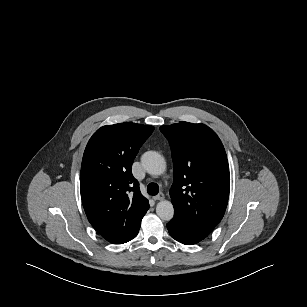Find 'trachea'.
Wrapping results in <instances>:
<instances>
[{
    "label": "trachea",
    "instance_id": "trachea-1",
    "mask_svg": "<svg viewBox=\"0 0 307 307\" xmlns=\"http://www.w3.org/2000/svg\"><path fill=\"white\" fill-rule=\"evenodd\" d=\"M147 192H148L150 195H157L158 192H159V186H158L156 183H150V184L147 186Z\"/></svg>",
    "mask_w": 307,
    "mask_h": 307
}]
</instances>
